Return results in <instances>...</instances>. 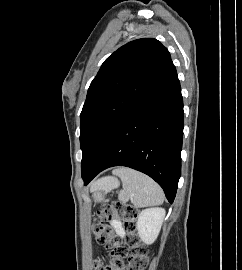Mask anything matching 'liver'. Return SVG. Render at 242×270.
Here are the masks:
<instances>
[{
  "label": "liver",
  "instance_id": "6515ba94",
  "mask_svg": "<svg viewBox=\"0 0 242 270\" xmlns=\"http://www.w3.org/2000/svg\"><path fill=\"white\" fill-rule=\"evenodd\" d=\"M110 180H112V179H110V178L101 179V180L97 181L95 185H102V184L106 183V181H110Z\"/></svg>",
  "mask_w": 242,
  "mask_h": 270
}]
</instances>
